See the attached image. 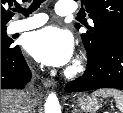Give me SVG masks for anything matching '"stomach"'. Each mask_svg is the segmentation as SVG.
Listing matches in <instances>:
<instances>
[{"label": "stomach", "instance_id": "1", "mask_svg": "<svg viewBox=\"0 0 123 113\" xmlns=\"http://www.w3.org/2000/svg\"><path fill=\"white\" fill-rule=\"evenodd\" d=\"M74 103L85 113H96L99 109V103L95 96L83 95Z\"/></svg>", "mask_w": 123, "mask_h": 113}]
</instances>
